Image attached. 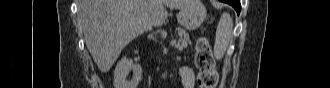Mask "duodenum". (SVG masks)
<instances>
[{"label":"duodenum","instance_id":"1","mask_svg":"<svg viewBox=\"0 0 330 88\" xmlns=\"http://www.w3.org/2000/svg\"><path fill=\"white\" fill-rule=\"evenodd\" d=\"M160 72H161L162 74H164V73H165V71H164L163 69H161V70H160Z\"/></svg>","mask_w":330,"mask_h":88}]
</instances>
